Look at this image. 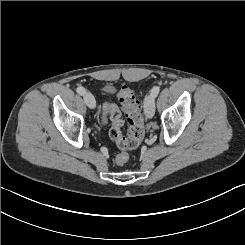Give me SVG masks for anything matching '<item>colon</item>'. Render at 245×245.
I'll use <instances>...</instances> for the list:
<instances>
[{
  "instance_id": "obj_1",
  "label": "colon",
  "mask_w": 245,
  "mask_h": 245,
  "mask_svg": "<svg viewBox=\"0 0 245 245\" xmlns=\"http://www.w3.org/2000/svg\"><path fill=\"white\" fill-rule=\"evenodd\" d=\"M118 99L129 125L127 136L122 134L123 120L118 107L108 103L104 105L103 112L105 122L111 124L109 136L121 150L115 161L117 165L122 166L129 159L127 151L136 149L141 144L145 129L141 105L133 89L126 84L122 85L118 91Z\"/></svg>"
}]
</instances>
